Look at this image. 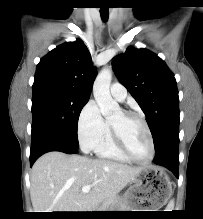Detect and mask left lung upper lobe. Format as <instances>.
<instances>
[{"mask_svg":"<svg viewBox=\"0 0 203 219\" xmlns=\"http://www.w3.org/2000/svg\"><path fill=\"white\" fill-rule=\"evenodd\" d=\"M113 69L145 113L156 153L179 138L178 90L165 62L147 49L130 47L114 57Z\"/></svg>","mask_w":203,"mask_h":219,"instance_id":"left-lung-upper-lobe-1","label":"left lung upper lobe"}]
</instances>
